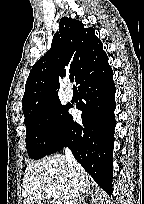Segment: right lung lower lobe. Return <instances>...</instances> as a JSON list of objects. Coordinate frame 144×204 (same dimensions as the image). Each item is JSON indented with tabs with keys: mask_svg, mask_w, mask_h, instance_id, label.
Wrapping results in <instances>:
<instances>
[{
	"mask_svg": "<svg viewBox=\"0 0 144 204\" xmlns=\"http://www.w3.org/2000/svg\"><path fill=\"white\" fill-rule=\"evenodd\" d=\"M79 84L81 101L77 108L82 110V123L75 122L68 114L61 135L49 154L68 146L82 167L111 195L116 88L108 59Z\"/></svg>",
	"mask_w": 144,
	"mask_h": 204,
	"instance_id": "98d812e1",
	"label": "right lung lower lobe"
}]
</instances>
